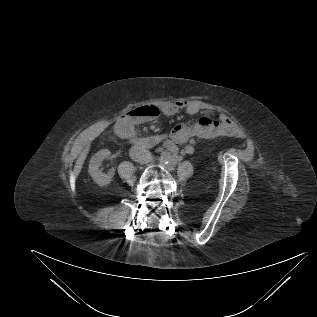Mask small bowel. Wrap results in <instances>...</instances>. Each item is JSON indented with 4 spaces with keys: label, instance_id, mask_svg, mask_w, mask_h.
Returning <instances> with one entry per match:
<instances>
[{
    "label": "small bowel",
    "instance_id": "c3829d8e",
    "mask_svg": "<svg viewBox=\"0 0 317 317\" xmlns=\"http://www.w3.org/2000/svg\"><path fill=\"white\" fill-rule=\"evenodd\" d=\"M164 116L170 117L180 111H186L190 115H197L202 111V107L195 101L178 100L164 101L159 104ZM117 130L130 136L136 137L135 123L128 119L117 125ZM238 128L227 117L213 119L209 116H199L191 124H178L170 133L169 139L165 142V147L172 153H177L178 144H185L193 138L211 139L217 136H235ZM183 154L191 155L194 147L188 143L183 148Z\"/></svg>",
    "mask_w": 317,
    "mask_h": 317
}]
</instances>
